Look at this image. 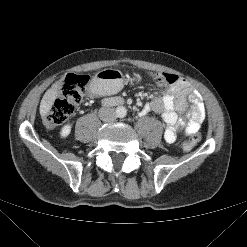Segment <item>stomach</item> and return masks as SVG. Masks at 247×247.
<instances>
[{"label": "stomach", "mask_w": 247, "mask_h": 247, "mask_svg": "<svg viewBox=\"0 0 247 247\" xmlns=\"http://www.w3.org/2000/svg\"><path fill=\"white\" fill-rule=\"evenodd\" d=\"M124 85V78L120 71L104 69L99 71L93 78V86L99 94L113 93L120 90Z\"/></svg>", "instance_id": "1"}]
</instances>
